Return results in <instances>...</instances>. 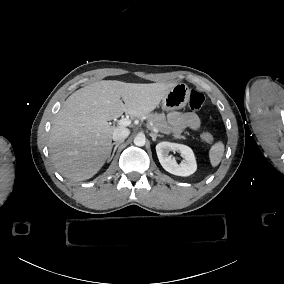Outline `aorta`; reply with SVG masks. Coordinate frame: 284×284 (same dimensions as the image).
<instances>
[{
  "mask_svg": "<svg viewBox=\"0 0 284 284\" xmlns=\"http://www.w3.org/2000/svg\"><path fill=\"white\" fill-rule=\"evenodd\" d=\"M146 143V138L144 135H137L135 138H134V144L136 146H144Z\"/></svg>",
  "mask_w": 284,
  "mask_h": 284,
  "instance_id": "aorta-1",
  "label": "aorta"
}]
</instances>
